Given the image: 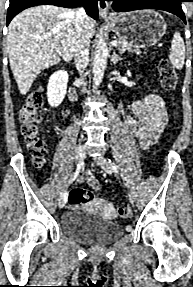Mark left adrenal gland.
I'll use <instances>...</instances> for the list:
<instances>
[{"mask_svg":"<svg viewBox=\"0 0 193 287\" xmlns=\"http://www.w3.org/2000/svg\"><path fill=\"white\" fill-rule=\"evenodd\" d=\"M122 58L116 54V51L113 50L112 58L111 61L113 62L114 65H116Z\"/></svg>","mask_w":193,"mask_h":287,"instance_id":"1","label":"left adrenal gland"}]
</instances>
